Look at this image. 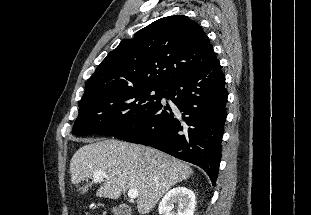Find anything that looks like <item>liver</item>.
Wrapping results in <instances>:
<instances>
[{
	"mask_svg": "<svg viewBox=\"0 0 311 215\" xmlns=\"http://www.w3.org/2000/svg\"><path fill=\"white\" fill-rule=\"evenodd\" d=\"M73 155L70 162L71 182L87 192L89 179L97 171L104 172L97 197L118 199L122 192L137 189V209L148 214L164 193L193 174L192 168L153 148L116 139L88 141Z\"/></svg>",
	"mask_w": 311,
	"mask_h": 215,
	"instance_id": "6515ba94",
	"label": "liver"
}]
</instances>
